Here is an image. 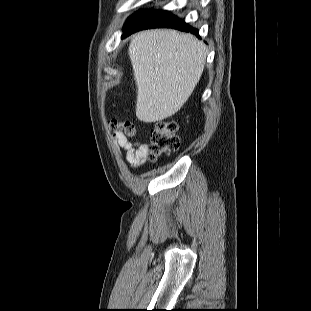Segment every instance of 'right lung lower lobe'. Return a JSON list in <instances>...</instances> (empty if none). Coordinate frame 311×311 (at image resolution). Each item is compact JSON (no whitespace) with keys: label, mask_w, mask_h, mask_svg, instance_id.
I'll return each mask as SVG.
<instances>
[{"label":"right lung lower lobe","mask_w":311,"mask_h":311,"mask_svg":"<svg viewBox=\"0 0 311 311\" xmlns=\"http://www.w3.org/2000/svg\"><path fill=\"white\" fill-rule=\"evenodd\" d=\"M151 28H174L183 32H190L197 37L198 30L186 24L183 20L177 18L167 11L148 10L141 13L125 30L122 38L130 34Z\"/></svg>","instance_id":"obj_1"}]
</instances>
